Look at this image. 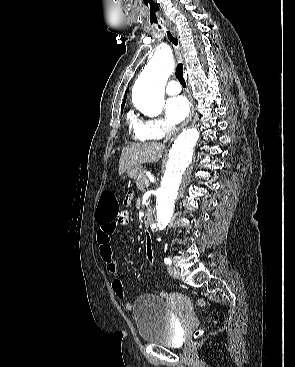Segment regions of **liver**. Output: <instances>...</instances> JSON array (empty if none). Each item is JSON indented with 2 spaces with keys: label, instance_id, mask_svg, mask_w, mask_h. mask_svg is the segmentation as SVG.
Instances as JSON below:
<instances>
[{
  "label": "liver",
  "instance_id": "6515ba94",
  "mask_svg": "<svg viewBox=\"0 0 295 367\" xmlns=\"http://www.w3.org/2000/svg\"><path fill=\"white\" fill-rule=\"evenodd\" d=\"M164 149V145L157 142L131 144L123 148L119 160V175L134 166L157 162Z\"/></svg>",
  "mask_w": 295,
  "mask_h": 367
}]
</instances>
